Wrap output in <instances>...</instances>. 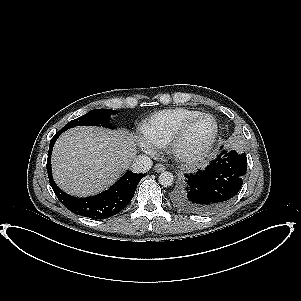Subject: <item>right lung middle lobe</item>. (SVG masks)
<instances>
[{
  "instance_id": "right-lung-middle-lobe-1",
  "label": "right lung middle lobe",
  "mask_w": 301,
  "mask_h": 301,
  "mask_svg": "<svg viewBox=\"0 0 301 301\" xmlns=\"http://www.w3.org/2000/svg\"><path fill=\"white\" fill-rule=\"evenodd\" d=\"M116 113V110L111 109H95L77 119L70 121L61 130L64 132L69 128L80 125L109 127L107 122L110 119V116Z\"/></svg>"
}]
</instances>
